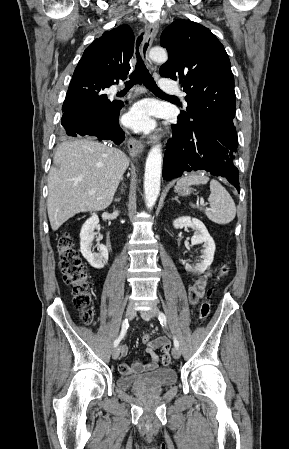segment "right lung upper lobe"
<instances>
[{"instance_id": "cb5924a9", "label": "right lung upper lobe", "mask_w": 289, "mask_h": 449, "mask_svg": "<svg viewBox=\"0 0 289 449\" xmlns=\"http://www.w3.org/2000/svg\"><path fill=\"white\" fill-rule=\"evenodd\" d=\"M133 47L134 35L128 25L104 32L85 49L72 78L100 82L106 87L126 79Z\"/></svg>"}]
</instances>
